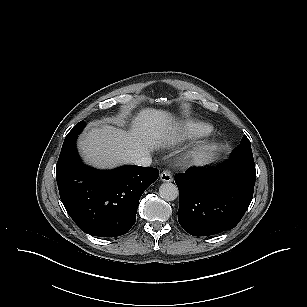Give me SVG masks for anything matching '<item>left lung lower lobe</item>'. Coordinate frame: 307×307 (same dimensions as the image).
Wrapping results in <instances>:
<instances>
[{
  "instance_id": "left-lung-lower-lobe-1",
  "label": "left lung lower lobe",
  "mask_w": 307,
  "mask_h": 307,
  "mask_svg": "<svg viewBox=\"0 0 307 307\" xmlns=\"http://www.w3.org/2000/svg\"><path fill=\"white\" fill-rule=\"evenodd\" d=\"M255 177L254 160L237 157L216 166L191 167L176 174L180 225L194 236L234 228L250 205Z\"/></svg>"
}]
</instances>
